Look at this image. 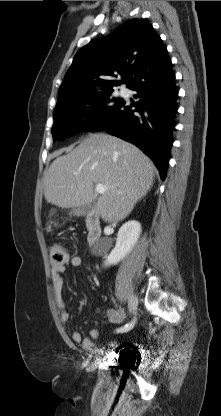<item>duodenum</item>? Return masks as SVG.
Returning a JSON list of instances; mask_svg holds the SVG:
<instances>
[{
  "mask_svg": "<svg viewBox=\"0 0 221 416\" xmlns=\"http://www.w3.org/2000/svg\"><path fill=\"white\" fill-rule=\"evenodd\" d=\"M86 228L87 242L89 245H92L99 240L102 235V227L96 212L89 213L86 216Z\"/></svg>",
  "mask_w": 221,
  "mask_h": 416,
  "instance_id": "410a0bca",
  "label": "duodenum"
}]
</instances>
